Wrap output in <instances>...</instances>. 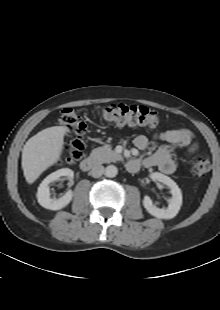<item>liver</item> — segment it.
<instances>
[{"label":"liver","mask_w":220,"mask_h":310,"mask_svg":"<svg viewBox=\"0 0 220 310\" xmlns=\"http://www.w3.org/2000/svg\"><path fill=\"white\" fill-rule=\"evenodd\" d=\"M68 131L65 126L49 127L26 142L22 150V169L29 184L60 159Z\"/></svg>","instance_id":"1"}]
</instances>
